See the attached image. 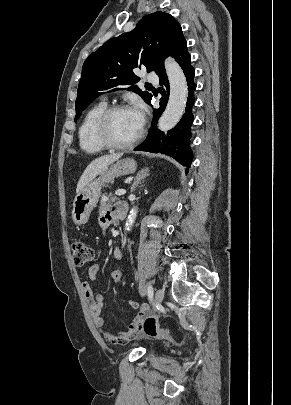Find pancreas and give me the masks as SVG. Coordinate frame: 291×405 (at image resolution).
<instances>
[{
  "mask_svg": "<svg viewBox=\"0 0 291 405\" xmlns=\"http://www.w3.org/2000/svg\"><path fill=\"white\" fill-rule=\"evenodd\" d=\"M117 200L118 198L113 196L112 193L109 194V196H106V194L102 195L99 208L100 212L110 208L112 203L116 202Z\"/></svg>",
  "mask_w": 291,
  "mask_h": 405,
  "instance_id": "obj_1",
  "label": "pancreas"
}]
</instances>
